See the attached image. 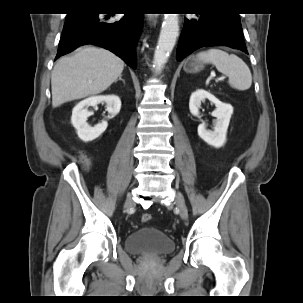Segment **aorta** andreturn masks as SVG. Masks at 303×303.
<instances>
[{
  "mask_svg": "<svg viewBox=\"0 0 303 303\" xmlns=\"http://www.w3.org/2000/svg\"><path fill=\"white\" fill-rule=\"evenodd\" d=\"M179 34L178 14H165L153 63L156 72H160L172 52Z\"/></svg>",
  "mask_w": 303,
  "mask_h": 303,
  "instance_id": "aorta-1",
  "label": "aorta"
}]
</instances>
